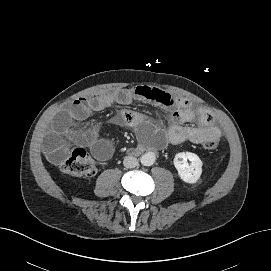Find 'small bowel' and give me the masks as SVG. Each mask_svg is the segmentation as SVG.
Listing matches in <instances>:
<instances>
[{"label":"small bowel","mask_w":271,"mask_h":271,"mask_svg":"<svg viewBox=\"0 0 271 271\" xmlns=\"http://www.w3.org/2000/svg\"><path fill=\"white\" fill-rule=\"evenodd\" d=\"M138 102L150 103L172 111L167 123L163 119H153L132 110H122L111 119L114 124L133 127L143 142L153 143L156 147L185 141L201 144L208 137L221 135L210 112L195 108L186 98L174 96L159 88L141 85L76 98L68 109L54 119L51 131L45 139V155L52 163L59 164L67 153L66 141L69 140L88 147L98 160L109 159L114 149L108 140L100 137L101 125L79 132L72 127V123L84 121L92 112L115 104Z\"/></svg>","instance_id":"c3829d8e"}]
</instances>
